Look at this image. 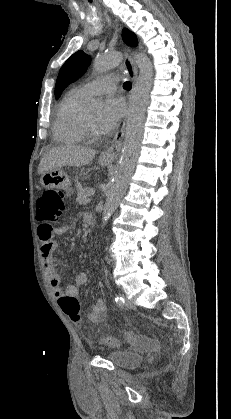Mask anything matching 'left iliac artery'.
Here are the masks:
<instances>
[{
    "label": "left iliac artery",
    "mask_w": 231,
    "mask_h": 419,
    "mask_svg": "<svg viewBox=\"0 0 231 419\" xmlns=\"http://www.w3.org/2000/svg\"><path fill=\"white\" fill-rule=\"evenodd\" d=\"M105 276H106V280H107V282H109V280L107 279V272H106V270H105ZM115 302H116L119 306H121V305H123V304L125 303V300H124V298H123V297H121L120 295L115 294Z\"/></svg>",
    "instance_id": "44dca946"
}]
</instances>
